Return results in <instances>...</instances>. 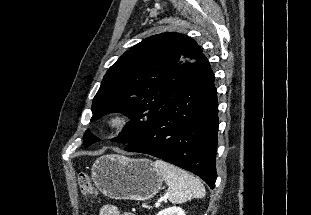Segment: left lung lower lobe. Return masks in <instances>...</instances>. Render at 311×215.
Wrapping results in <instances>:
<instances>
[{"label":"left lung lower lobe","mask_w":311,"mask_h":215,"mask_svg":"<svg viewBox=\"0 0 311 215\" xmlns=\"http://www.w3.org/2000/svg\"><path fill=\"white\" fill-rule=\"evenodd\" d=\"M217 108L214 74L202 54L186 83L124 150L163 159L198 175L213 188L217 178Z\"/></svg>","instance_id":"1"}]
</instances>
